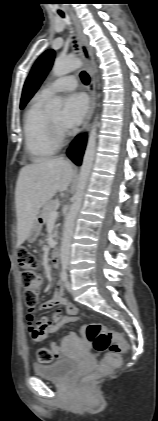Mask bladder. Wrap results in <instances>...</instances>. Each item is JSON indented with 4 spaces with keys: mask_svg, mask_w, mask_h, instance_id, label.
<instances>
[{
    "mask_svg": "<svg viewBox=\"0 0 158 421\" xmlns=\"http://www.w3.org/2000/svg\"><path fill=\"white\" fill-rule=\"evenodd\" d=\"M75 368V361L71 358L64 357L47 364H34L33 372L41 378L62 381L68 378Z\"/></svg>",
    "mask_w": 158,
    "mask_h": 421,
    "instance_id": "bladder-1",
    "label": "bladder"
}]
</instances>
